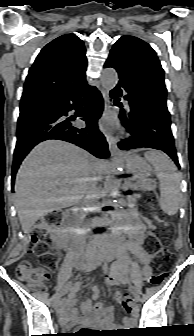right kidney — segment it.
Listing matches in <instances>:
<instances>
[{
  "label": "right kidney",
  "instance_id": "right-kidney-1",
  "mask_svg": "<svg viewBox=\"0 0 194 336\" xmlns=\"http://www.w3.org/2000/svg\"><path fill=\"white\" fill-rule=\"evenodd\" d=\"M50 232H51V239H53L54 241H56V239H57V233H58V228L55 225H52L50 227Z\"/></svg>",
  "mask_w": 194,
  "mask_h": 336
}]
</instances>
